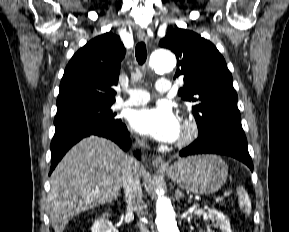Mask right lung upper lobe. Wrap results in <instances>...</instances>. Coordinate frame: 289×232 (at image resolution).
<instances>
[{
	"instance_id": "1",
	"label": "right lung upper lobe",
	"mask_w": 289,
	"mask_h": 232,
	"mask_svg": "<svg viewBox=\"0 0 289 232\" xmlns=\"http://www.w3.org/2000/svg\"><path fill=\"white\" fill-rule=\"evenodd\" d=\"M125 48L112 32L100 35L77 51L65 68L57 108L84 103L113 104Z\"/></svg>"
}]
</instances>
